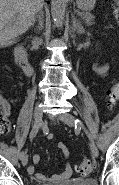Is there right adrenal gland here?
Masks as SVG:
<instances>
[{
    "mask_svg": "<svg viewBox=\"0 0 119 185\" xmlns=\"http://www.w3.org/2000/svg\"><path fill=\"white\" fill-rule=\"evenodd\" d=\"M43 29V12H40V17H39V26L36 30H42Z\"/></svg>",
    "mask_w": 119,
    "mask_h": 185,
    "instance_id": "1",
    "label": "right adrenal gland"
}]
</instances>
